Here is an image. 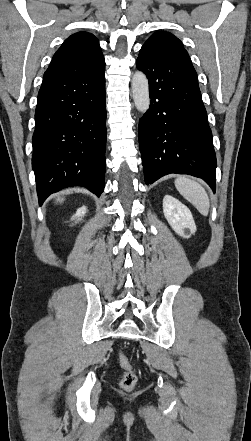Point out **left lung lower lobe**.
I'll list each match as a JSON object with an SVG mask.
<instances>
[{"instance_id":"1","label":"left lung lower lobe","mask_w":251,"mask_h":441,"mask_svg":"<svg viewBox=\"0 0 251 441\" xmlns=\"http://www.w3.org/2000/svg\"><path fill=\"white\" fill-rule=\"evenodd\" d=\"M136 66L148 77L151 98L138 129L145 183L189 174L215 192L216 155L193 65L141 48Z\"/></svg>"}]
</instances>
